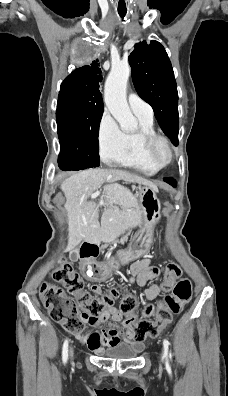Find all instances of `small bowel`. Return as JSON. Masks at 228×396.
<instances>
[{"label":"small bowel","instance_id":"1","mask_svg":"<svg viewBox=\"0 0 228 396\" xmlns=\"http://www.w3.org/2000/svg\"><path fill=\"white\" fill-rule=\"evenodd\" d=\"M133 259L129 252L119 253L116 259H111L104 263H93L84 261L81 264V271L87 277H106L112 271L117 269L120 265L126 264ZM160 270L158 267L151 265L148 257L132 262L130 266L129 288L133 285L146 287L148 283L159 276ZM92 291L96 294L101 293V288L98 285H92ZM162 291L158 284H152L146 287L140 296L147 300L155 299ZM108 314L112 316L114 321H119L123 317V313L115 308H110ZM76 338L91 351L95 353H102L105 346L127 342L138 351H142L144 345L142 341L135 338V332L132 327L122 329L116 322L110 324L108 329L97 331H85L75 334Z\"/></svg>","mask_w":228,"mask_h":396}]
</instances>
